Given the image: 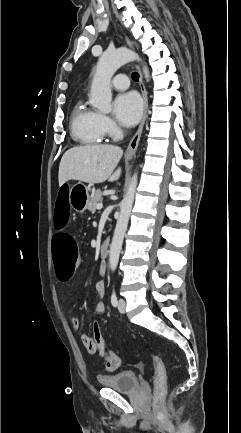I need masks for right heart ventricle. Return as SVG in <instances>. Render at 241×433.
<instances>
[{
    "label": "right heart ventricle",
    "instance_id": "e07e8e85",
    "mask_svg": "<svg viewBox=\"0 0 241 433\" xmlns=\"http://www.w3.org/2000/svg\"><path fill=\"white\" fill-rule=\"evenodd\" d=\"M101 114L79 100L71 113V135L83 144H98L105 140L106 132L100 121Z\"/></svg>",
    "mask_w": 241,
    "mask_h": 433
}]
</instances>
